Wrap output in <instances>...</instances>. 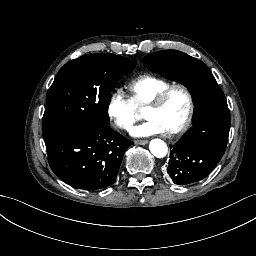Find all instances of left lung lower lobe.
Listing matches in <instances>:
<instances>
[{
    "label": "left lung lower lobe",
    "mask_w": 256,
    "mask_h": 256,
    "mask_svg": "<svg viewBox=\"0 0 256 256\" xmlns=\"http://www.w3.org/2000/svg\"><path fill=\"white\" fill-rule=\"evenodd\" d=\"M168 174L170 175L173 182L175 184H179V185H185V184L197 182L206 177V176H198V175H179V174H174L171 172H168Z\"/></svg>",
    "instance_id": "1"
}]
</instances>
